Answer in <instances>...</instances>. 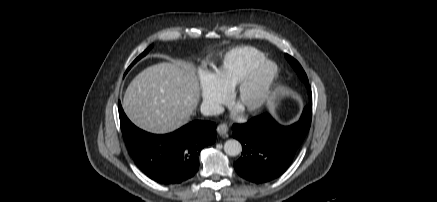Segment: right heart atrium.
Returning a JSON list of instances; mask_svg holds the SVG:
<instances>
[{
  "label": "right heart atrium",
  "instance_id": "right-heart-atrium-1",
  "mask_svg": "<svg viewBox=\"0 0 437 202\" xmlns=\"http://www.w3.org/2000/svg\"><path fill=\"white\" fill-rule=\"evenodd\" d=\"M200 95L204 108L211 113L217 112L228 99V91L208 72L200 74Z\"/></svg>",
  "mask_w": 437,
  "mask_h": 202
}]
</instances>
